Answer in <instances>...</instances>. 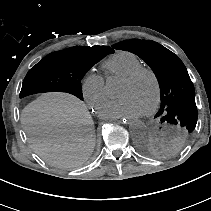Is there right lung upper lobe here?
I'll return each mask as SVG.
<instances>
[{"label": "right lung upper lobe", "instance_id": "cb5924a9", "mask_svg": "<svg viewBox=\"0 0 211 211\" xmlns=\"http://www.w3.org/2000/svg\"><path fill=\"white\" fill-rule=\"evenodd\" d=\"M74 48L81 50V51H85V52H101L106 55H108L110 53H114V50L108 46H93V47L77 46Z\"/></svg>", "mask_w": 211, "mask_h": 211}]
</instances>
